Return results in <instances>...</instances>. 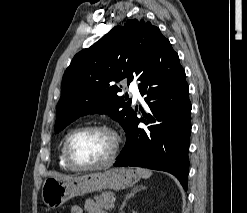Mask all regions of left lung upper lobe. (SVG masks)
<instances>
[{
    "instance_id": "obj_1",
    "label": "left lung upper lobe",
    "mask_w": 247,
    "mask_h": 213,
    "mask_svg": "<svg viewBox=\"0 0 247 213\" xmlns=\"http://www.w3.org/2000/svg\"><path fill=\"white\" fill-rule=\"evenodd\" d=\"M175 52L169 40L150 22L128 20L114 27L90 48L77 53L62 79L55 132L86 114H107L125 129L133 115L131 100L112 85L127 78L139 81L154 64Z\"/></svg>"
}]
</instances>
